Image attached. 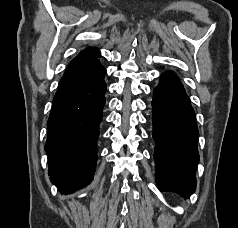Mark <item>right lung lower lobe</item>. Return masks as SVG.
<instances>
[{
  "label": "right lung lower lobe",
  "mask_w": 238,
  "mask_h": 228,
  "mask_svg": "<svg viewBox=\"0 0 238 228\" xmlns=\"http://www.w3.org/2000/svg\"><path fill=\"white\" fill-rule=\"evenodd\" d=\"M105 73L86 83L60 87L53 98L45 150L50 179L61 193L70 194L93 179Z\"/></svg>",
  "instance_id": "98d812e1"
}]
</instances>
